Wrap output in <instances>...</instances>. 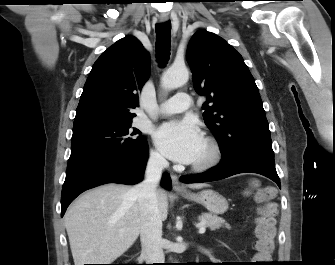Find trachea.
Listing matches in <instances>:
<instances>
[{"label":"trachea","mask_w":335,"mask_h":265,"mask_svg":"<svg viewBox=\"0 0 335 265\" xmlns=\"http://www.w3.org/2000/svg\"><path fill=\"white\" fill-rule=\"evenodd\" d=\"M155 28L157 62L164 67L170 57L171 23L170 21L160 23Z\"/></svg>","instance_id":"trachea-1"}]
</instances>
